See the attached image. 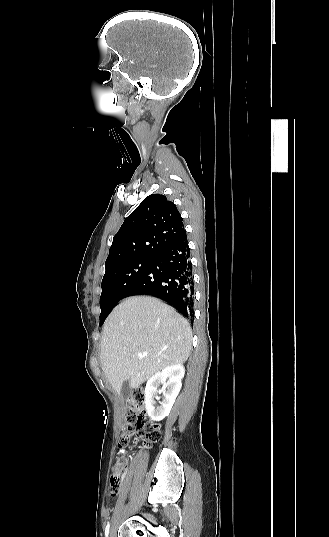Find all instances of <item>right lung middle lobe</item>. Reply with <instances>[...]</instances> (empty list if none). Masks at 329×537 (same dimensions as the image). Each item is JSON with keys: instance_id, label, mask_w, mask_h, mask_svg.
<instances>
[{"instance_id": "dd1d6c3e", "label": "right lung middle lobe", "mask_w": 329, "mask_h": 537, "mask_svg": "<svg viewBox=\"0 0 329 537\" xmlns=\"http://www.w3.org/2000/svg\"><path fill=\"white\" fill-rule=\"evenodd\" d=\"M152 259H138L108 269L102 280L100 296V325H102L116 303L124 298L127 291L145 272Z\"/></svg>"}]
</instances>
